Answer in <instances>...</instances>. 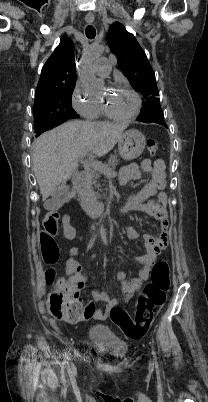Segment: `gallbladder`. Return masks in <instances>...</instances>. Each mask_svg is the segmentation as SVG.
Returning <instances> with one entry per match:
<instances>
[{
    "label": "gallbladder",
    "mask_w": 208,
    "mask_h": 402,
    "mask_svg": "<svg viewBox=\"0 0 208 402\" xmlns=\"http://www.w3.org/2000/svg\"><path fill=\"white\" fill-rule=\"evenodd\" d=\"M67 183H62L61 186H57L55 190L51 192V197L53 199H58L60 195H64L66 192Z\"/></svg>",
    "instance_id": "1"
}]
</instances>
